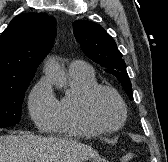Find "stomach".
Masks as SVG:
<instances>
[{
	"mask_svg": "<svg viewBox=\"0 0 168 162\" xmlns=\"http://www.w3.org/2000/svg\"><path fill=\"white\" fill-rule=\"evenodd\" d=\"M90 162H109V161H107L106 159H101L99 157V158H93V159H91Z\"/></svg>",
	"mask_w": 168,
	"mask_h": 162,
	"instance_id": "1",
	"label": "stomach"
}]
</instances>
